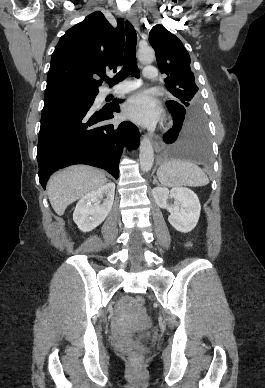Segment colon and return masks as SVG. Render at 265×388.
Segmentation results:
<instances>
[{"label": "colon", "instance_id": "1", "mask_svg": "<svg viewBox=\"0 0 265 388\" xmlns=\"http://www.w3.org/2000/svg\"><path fill=\"white\" fill-rule=\"evenodd\" d=\"M134 304L138 309H142L145 306V298L141 295H138L134 299ZM123 352L127 354L133 361L139 360L141 353L138 348H124Z\"/></svg>", "mask_w": 265, "mask_h": 388}]
</instances>
